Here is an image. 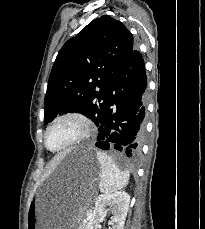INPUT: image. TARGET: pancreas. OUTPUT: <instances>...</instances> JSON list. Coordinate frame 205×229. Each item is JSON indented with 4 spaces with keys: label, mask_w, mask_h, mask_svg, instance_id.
I'll use <instances>...</instances> for the list:
<instances>
[{
    "label": "pancreas",
    "mask_w": 205,
    "mask_h": 229,
    "mask_svg": "<svg viewBox=\"0 0 205 229\" xmlns=\"http://www.w3.org/2000/svg\"><path fill=\"white\" fill-rule=\"evenodd\" d=\"M85 223L83 224V229H84Z\"/></svg>",
    "instance_id": "pancreas-1"
}]
</instances>
